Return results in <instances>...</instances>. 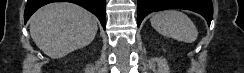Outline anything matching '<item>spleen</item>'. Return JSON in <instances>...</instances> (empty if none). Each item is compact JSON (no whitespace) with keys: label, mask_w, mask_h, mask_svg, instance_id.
I'll return each mask as SVG.
<instances>
[{"label":"spleen","mask_w":244,"mask_h":73,"mask_svg":"<svg viewBox=\"0 0 244 73\" xmlns=\"http://www.w3.org/2000/svg\"><path fill=\"white\" fill-rule=\"evenodd\" d=\"M152 27L161 35L185 43H193L198 31L192 20L177 10L155 13L150 19Z\"/></svg>","instance_id":"3e777b00"}]
</instances>
